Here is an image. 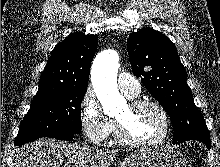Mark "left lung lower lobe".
<instances>
[{
	"mask_svg": "<svg viewBox=\"0 0 220 167\" xmlns=\"http://www.w3.org/2000/svg\"><path fill=\"white\" fill-rule=\"evenodd\" d=\"M191 140H198L200 142H203L207 146L208 149L211 148L210 138H195V139H191ZM185 141H187V140H181V141H177V142L173 141V143L174 144H179V143H182V142H185Z\"/></svg>",
	"mask_w": 220,
	"mask_h": 167,
	"instance_id": "0a47b994",
	"label": "left lung lower lobe"
}]
</instances>
